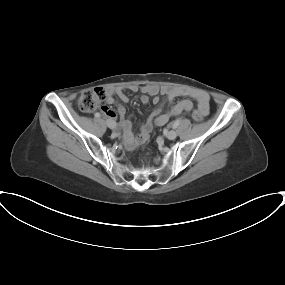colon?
Returning a JSON list of instances; mask_svg holds the SVG:
<instances>
[{"instance_id":"obj_1","label":"colon","mask_w":285,"mask_h":285,"mask_svg":"<svg viewBox=\"0 0 285 285\" xmlns=\"http://www.w3.org/2000/svg\"><path fill=\"white\" fill-rule=\"evenodd\" d=\"M105 99V93L100 88L84 91L77 100V106L82 112H92L96 110ZM192 118L195 121H202L204 114L199 110L195 109L192 112Z\"/></svg>"}]
</instances>
